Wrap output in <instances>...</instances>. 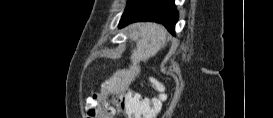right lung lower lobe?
<instances>
[{
    "label": "right lung lower lobe",
    "mask_w": 273,
    "mask_h": 118,
    "mask_svg": "<svg viewBox=\"0 0 273 118\" xmlns=\"http://www.w3.org/2000/svg\"><path fill=\"white\" fill-rule=\"evenodd\" d=\"M178 20L174 0H130L119 27L137 21L162 23L172 34Z\"/></svg>",
    "instance_id": "1"
}]
</instances>
